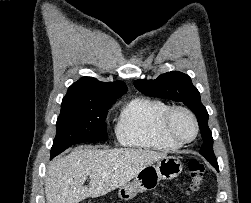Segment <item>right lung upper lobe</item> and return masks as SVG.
<instances>
[{"label":"right lung upper lobe","mask_w":251,"mask_h":203,"mask_svg":"<svg viewBox=\"0 0 251 203\" xmlns=\"http://www.w3.org/2000/svg\"><path fill=\"white\" fill-rule=\"evenodd\" d=\"M127 92L122 81L112 83L99 82L93 77H82L74 82L62 100V105L87 102H116Z\"/></svg>","instance_id":"obj_1"}]
</instances>
